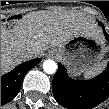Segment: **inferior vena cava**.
Listing matches in <instances>:
<instances>
[{
  "instance_id": "inferior-vena-cava-1",
  "label": "inferior vena cava",
  "mask_w": 109,
  "mask_h": 109,
  "mask_svg": "<svg viewBox=\"0 0 109 109\" xmlns=\"http://www.w3.org/2000/svg\"><path fill=\"white\" fill-rule=\"evenodd\" d=\"M20 55L24 60H29V59L35 58L34 52L31 50H22L20 52Z\"/></svg>"
}]
</instances>
